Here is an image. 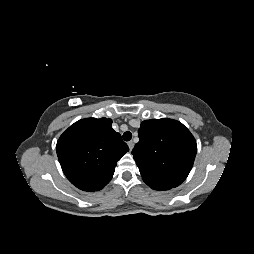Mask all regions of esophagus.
Here are the masks:
<instances>
[{
  "instance_id": "1",
  "label": "esophagus",
  "mask_w": 254,
  "mask_h": 254,
  "mask_svg": "<svg viewBox=\"0 0 254 254\" xmlns=\"http://www.w3.org/2000/svg\"><path fill=\"white\" fill-rule=\"evenodd\" d=\"M128 146H129V149L131 151L133 149V147H134V142L133 141H129L128 142Z\"/></svg>"
}]
</instances>
